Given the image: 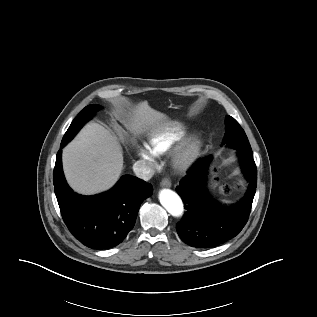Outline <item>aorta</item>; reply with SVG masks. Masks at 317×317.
Masks as SVG:
<instances>
[{
    "mask_svg": "<svg viewBox=\"0 0 317 317\" xmlns=\"http://www.w3.org/2000/svg\"><path fill=\"white\" fill-rule=\"evenodd\" d=\"M161 205L169 214L174 217H181L184 211V205L181 198L170 189H163L159 193Z\"/></svg>",
    "mask_w": 317,
    "mask_h": 317,
    "instance_id": "1",
    "label": "aorta"
}]
</instances>
